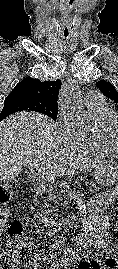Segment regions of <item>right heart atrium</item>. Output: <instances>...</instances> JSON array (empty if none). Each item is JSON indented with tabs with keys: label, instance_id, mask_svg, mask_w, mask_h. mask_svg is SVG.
Returning a JSON list of instances; mask_svg holds the SVG:
<instances>
[{
	"label": "right heart atrium",
	"instance_id": "1",
	"mask_svg": "<svg viewBox=\"0 0 118 269\" xmlns=\"http://www.w3.org/2000/svg\"><path fill=\"white\" fill-rule=\"evenodd\" d=\"M61 126L69 142L77 147H79L88 135L71 118L64 115L61 116Z\"/></svg>",
	"mask_w": 118,
	"mask_h": 269
}]
</instances>
